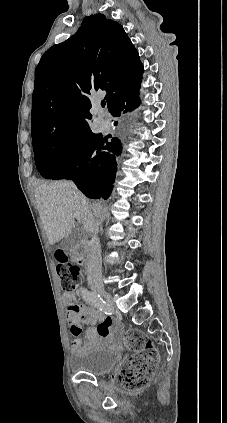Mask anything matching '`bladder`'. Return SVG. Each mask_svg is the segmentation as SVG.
Masks as SVG:
<instances>
[{"label": "bladder", "mask_w": 227, "mask_h": 423, "mask_svg": "<svg viewBox=\"0 0 227 423\" xmlns=\"http://www.w3.org/2000/svg\"><path fill=\"white\" fill-rule=\"evenodd\" d=\"M120 359L117 350L89 349L82 355L73 357L72 370L93 376H105L112 373Z\"/></svg>", "instance_id": "obj_1"}]
</instances>
